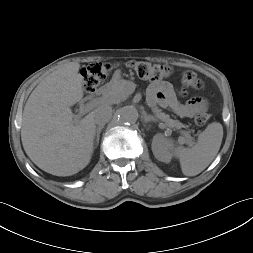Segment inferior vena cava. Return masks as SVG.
I'll list each match as a JSON object with an SVG mask.
<instances>
[{"label":"inferior vena cava","instance_id":"obj_1","mask_svg":"<svg viewBox=\"0 0 253 253\" xmlns=\"http://www.w3.org/2000/svg\"><path fill=\"white\" fill-rule=\"evenodd\" d=\"M112 117V108L109 105H101L94 110V121L98 126H104Z\"/></svg>","mask_w":253,"mask_h":253}]
</instances>
